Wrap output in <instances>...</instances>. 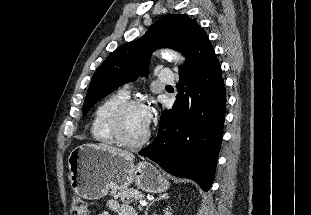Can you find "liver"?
Returning a JSON list of instances; mask_svg holds the SVG:
<instances>
[{"label":"liver","mask_w":311,"mask_h":215,"mask_svg":"<svg viewBox=\"0 0 311 215\" xmlns=\"http://www.w3.org/2000/svg\"><path fill=\"white\" fill-rule=\"evenodd\" d=\"M97 146L102 147L103 149H106V150H108V151L111 152V153L121 154V155L127 156V157H129V158H131V159L134 158L133 154H131V153L125 151V150H121V149H119V148L110 146V145H108V144L100 143V144H98Z\"/></svg>","instance_id":"obj_1"}]
</instances>
